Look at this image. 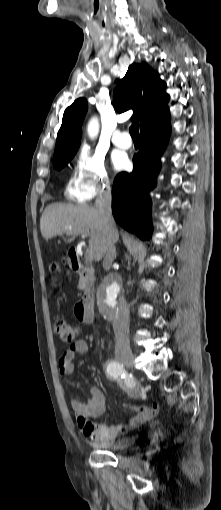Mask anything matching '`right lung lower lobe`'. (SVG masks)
<instances>
[{
  "label": "right lung lower lobe",
  "instance_id": "right-lung-lower-lobe-1",
  "mask_svg": "<svg viewBox=\"0 0 221 510\" xmlns=\"http://www.w3.org/2000/svg\"><path fill=\"white\" fill-rule=\"evenodd\" d=\"M169 118L141 129V146L133 157V172L119 173L113 184L114 218L120 226L135 233L140 239H149L152 232L149 192L156 185V175L161 166L160 156L168 142Z\"/></svg>",
  "mask_w": 221,
  "mask_h": 510
}]
</instances>
